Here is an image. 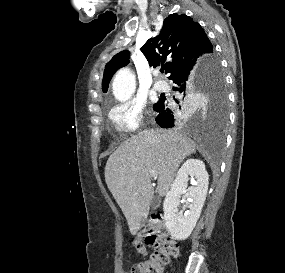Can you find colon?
I'll return each instance as SVG.
<instances>
[{"mask_svg": "<svg viewBox=\"0 0 285 273\" xmlns=\"http://www.w3.org/2000/svg\"><path fill=\"white\" fill-rule=\"evenodd\" d=\"M132 245L141 254L146 252L148 246L155 248V252L137 264L132 273H164L179 250L177 241L170 236L161 218L152 219L151 224L132 241Z\"/></svg>", "mask_w": 285, "mask_h": 273, "instance_id": "colon-1", "label": "colon"}]
</instances>
